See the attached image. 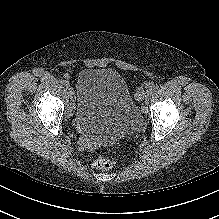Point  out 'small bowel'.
Masks as SVG:
<instances>
[{"label": "small bowel", "mask_w": 219, "mask_h": 219, "mask_svg": "<svg viewBox=\"0 0 219 219\" xmlns=\"http://www.w3.org/2000/svg\"><path fill=\"white\" fill-rule=\"evenodd\" d=\"M96 146L95 145H91V146H87V149L89 150V151H94V150H96Z\"/></svg>", "instance_id": "obj_1"}]
</instances>
